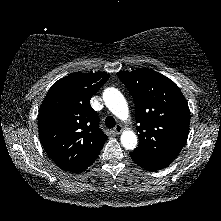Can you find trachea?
<instances>
[{
	"mask_svg": "<svg viewBox=\"0 0 221 221\" xmlns=\"http://www.w3.org/2000/svg\"><path fill=\"white\" fill-rule=\"evenodd\" d=\"M116 124L115 119L112 116H107L105 119V125L108 128H113Z\"/></svg>",
	"mask_w": 221,
	"mask_h": 221,
	"instance_id": "trachea-1",
	"label": "trachea"
}]
</instances>
